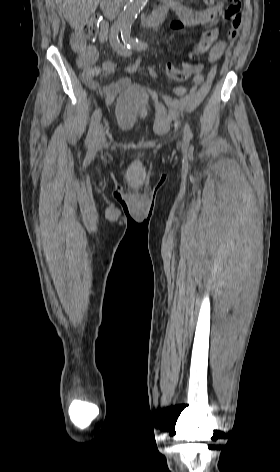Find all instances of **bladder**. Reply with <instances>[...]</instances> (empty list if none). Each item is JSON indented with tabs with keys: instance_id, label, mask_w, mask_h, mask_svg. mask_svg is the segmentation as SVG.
Instances as JSON below:
<instances>
[{
	"instance_id": "obj_1",
	"label": "bladder",
	"mask_w": 280,
	"mask_h": 472,
	"mask_svg": "<svg viewBox=\"0 0 280 472\" xmlns=\"http://www.w3.org/2000/svg\"><path fill=\"white\" fill-rule=\"evenodd\" d=\"M149 106L150 97L147 90L141 85H130L116 100L115 121L117 126L124 131L133 129Z\"/></svg>"
}]
</instances>
